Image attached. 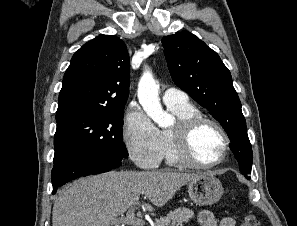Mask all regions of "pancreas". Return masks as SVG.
Instances as JSON below:
<instances>
[{
    "mask_svg": "<svg viewBox=\"0 0 297 226\" xmlns=\"http://www.w3.org/2000/svg\"><path fill=\"white\" fill-rule=\"evenodd\" d=\"M194 217V212L188 208H177L170 211L166 217L156 220L154 226H182Z\"/></svg>",
    "mask_w": 297,
    "mask_h": 226,
    "instance_id": "cf45deb5",
    "label": "pancreas"
}]
</instances>
